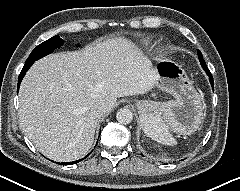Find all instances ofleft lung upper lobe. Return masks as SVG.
<instances>
[{"label": "left lung upper lobe", "mask_w": 240, "mask_h": 191, "mask_svg": "<svg viewBox=\"0 0 240 191\" xmlns=\"http://www.w3.org/2000/svg\"><path fill=\"white\" fill-rule=\"evenodd\" d=\"M197 53H198V58H203L202 53L199 50H197Z\"/></svg>", "instance_id": "1"}]
</instances>
